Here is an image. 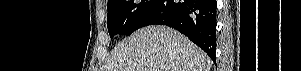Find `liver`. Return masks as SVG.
Wrapping results in <instances>:
<instances>
[{
  "instance_id": "liver-1",
  "label": "liver",
  "mask_w": 301,
  "mask_h": 71,
  "mask_svg": "<svg viewBox=\"0 0 301 71\" xmlns=\"http://www.w3.org/2000/svg\"><path fill=\"white\" fill-rule=\"evenodd\" d=\"M209 56L180 32L146 26L119 42L101 71H210Z\"/></svg>"
}]
</instances>
